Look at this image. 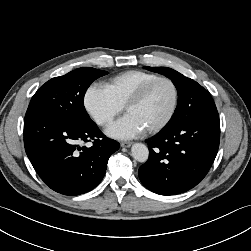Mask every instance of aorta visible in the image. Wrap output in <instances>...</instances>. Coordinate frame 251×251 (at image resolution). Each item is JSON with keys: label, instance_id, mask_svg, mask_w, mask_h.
<instances>
[{"label": "aorta", "instance_id": "obj_1", "mask_svg": "<svg viewBox=\"0 0 251 251\" xmlns=\"http://www.w3.org/2000/svg\"><path fill=\"white\" fill-rule=\"evenodd\" d=\"M131 153L133 158L141 163H144L148 160L149 150L147 146L143 143H135L131 147Z\"/></svg>", "mask_w": 251, "mask_h": 251}]
</instances>
